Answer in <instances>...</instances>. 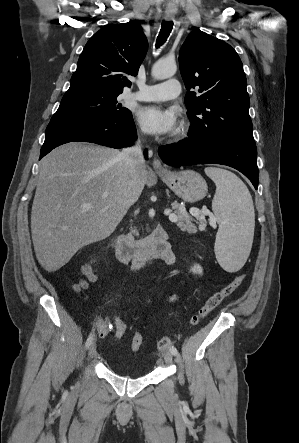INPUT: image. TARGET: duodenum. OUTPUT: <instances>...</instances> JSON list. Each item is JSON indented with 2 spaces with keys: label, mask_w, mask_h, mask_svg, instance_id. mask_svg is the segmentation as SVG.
I'll list each match as a JSON object with an SVG mask.
<instances>
[{
  "label": "duodenum",
  "mask_w": 299,
  "mask_h": 443,
  "mask_svg": "<svg viewBox=\"0 0 299 443\" xmlns=\"http://www.w3.org/2000/svg\"><path fill=\"white\" fill-rule=\"evenodd\" d=\"M111 247L119 260L139 265H146L153 259L161 258L170 249L167 232L161 227L148 238L139 241L123 236L115 237Z\"/></svg>",
  "instance_id": "obj_1"
}]
</instances>
